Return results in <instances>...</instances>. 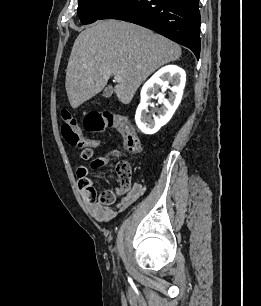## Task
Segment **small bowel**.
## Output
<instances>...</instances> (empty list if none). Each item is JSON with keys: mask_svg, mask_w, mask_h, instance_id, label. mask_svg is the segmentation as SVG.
<instances>
[{"mask_svg": "<svg viewBox=\"0 0 261 306\" xmlns=\"http://www.w3.org/2000/svg\"><path fill=\"white\" fill-rule=\"evenodd\" d=\"M99 142L97 140H92V147L98 146ZM92 150L86 154V156L82 157L87 159L91 156ZM86 174L88 176V169L81 165L77 168V176L80 178L82 174ZM119 193H125L122 199L115 205H104L99 202H91L89 200V193L81 190V195L83 200L87 204V208L91 215L100 222H109L113 220L118 213L126 210L131 204L137 201L144 192V188L139 183H133L128 189L120 188L118 190Z\"/></svg>", "mask_w": 261, "mask_h": 306, "instance_id": "obj_1", "label": "small bowel"}]
</instances>
